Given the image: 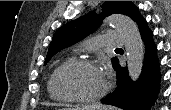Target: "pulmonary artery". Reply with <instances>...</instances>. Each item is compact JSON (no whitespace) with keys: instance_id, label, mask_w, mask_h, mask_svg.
<instances>
[{"instance_id":"1","label":"pulmonary artery","mask_w":171,"mask_h":110,"mask_svg":"<svg viewBox=\"0 0 171 110\" xmlns=\"http://www.w3.org/2000/svg\"><path fill=\"white\" fill-rule=\"evenodd\" d=\"M124 42V38L119 33L110 32L82 42L80 48L91 50L99 49L101 47H119L122 46Z\"/></svg>"}]
</instances>
